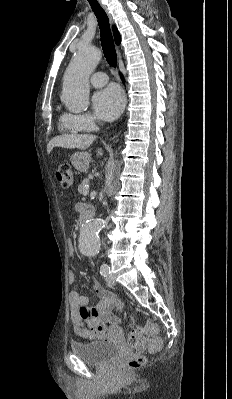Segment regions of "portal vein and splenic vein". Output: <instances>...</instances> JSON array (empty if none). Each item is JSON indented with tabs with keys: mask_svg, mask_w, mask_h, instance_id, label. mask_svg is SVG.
Here are the masks:
<instances>
[{
	"mask_svg": "<svg viewBox=\"0 0 232 399\" xmlns=\"http://www.w3.org/2000/svg\"><path fill=\"white\" fill-rule=\"evenodd\" d=\"M87 194H89L88 190H86V192H83V196H87Z\"/></svg>",
	"mask_w": 232,
	"mask_h": 399,
	"instance_id": "portal-vein-and-splenic-vein-1",
	"label": "portal vein and splenic vein"
}]
</instances>
